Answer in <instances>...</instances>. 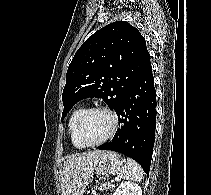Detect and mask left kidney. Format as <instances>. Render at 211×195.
<instances>
[{
    "mask_svg": "<svg viewBox=\"0 0 211 195\" xmlns=\"http://www.w3.org/2000/svg\"><path fill=\"white\" fill-rule=\"evenodd\" d=\"M113 195H142V189L136 183L122 182Z\"/></svg>",
    "mask_w": 211,
    "mask_h": 195,
    "instance_id": "1",
    "label": "left kidney"
}]
</instances>
